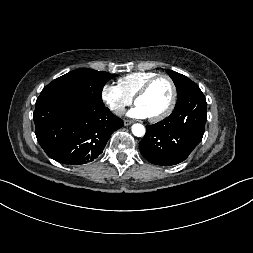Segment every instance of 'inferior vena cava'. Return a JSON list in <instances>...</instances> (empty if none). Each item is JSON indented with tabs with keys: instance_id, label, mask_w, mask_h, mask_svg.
I'll list each match as a JSON object with an SVG mask.
<instances>
[{
	"instance_id": "obj_1",
	"label": "inferior vena cava",
	"mask_w": 253,
	"mask_h": 253,
	"mask_svg": "<svg viewBox=\"0 0 253 253\" xmlns=\"http://www.w3.org/2000/svg\"><path fill=\"white\" fill-rule=\"evenodd\" d=\"M113 110H115L116 113H122L125 111V107H120V106H114L112 107Z\"/></svg>"
}]
</instances>
